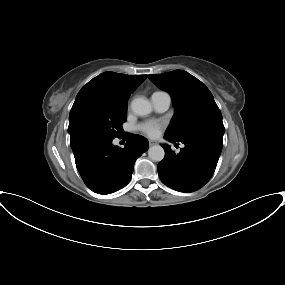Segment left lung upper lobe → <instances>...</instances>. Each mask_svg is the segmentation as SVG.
<instances>
[{
  "label": "left lung upper lobe",
  "mask_w": 285,
  "mask_h": 285,
  "mask_svg": "<svg viewBox=\"0 0 285 285\" xmlns=\"http://www.w3.org/2000/svg\"><path fill=\"white\" fill-rule=\"evenodd\" d=\"M148 77L167 91L174 102L175 114L165 136L178 142L200 137L223 141L222 114L211 92L200 80L183 70Z\"/></svg>",
  "instance_id": "left-lung-upper-lobe-1"
}]
</instances>
